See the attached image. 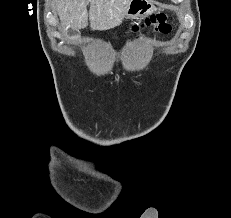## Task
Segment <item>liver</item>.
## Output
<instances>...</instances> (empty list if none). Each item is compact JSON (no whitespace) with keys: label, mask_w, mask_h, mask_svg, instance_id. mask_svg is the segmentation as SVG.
Instances as JSON below:
<instances>
[{"label":"liver","mask_w":231,"mask_h":218,"mask_svg":"<svg viewBox=\"0 0 231 218\" xmlns=\"http://www.w3.org/2000/svg\"><path fill=\"white\" fill-rule=\"evenodd\" d=\"M131 0H56L63 32L90 27L108 30L119 25ZM90 3L89 13L87 5Z\"/></svg>","instance_id":"liver-1"}]
</instances>
